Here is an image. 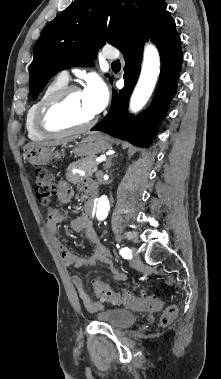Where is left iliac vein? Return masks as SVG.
I'll list each match as a JSON object with an SVG mask.
<instances>
[{
	"mask_svg": "<svg viewBox=\"0 0 221 379\" xmlns=\"http://www.w3.org/2000/svg\"><path fill=\"white\" fill-rule=\"evenodd\" d=\"M131 250L133 253V259L130 260V265L134 268H141L142 261L138 255L137 249L135 247H132Z\"/></svg>",
	"mask_w": 221,
	"mask_h": 379,
	"instance_id": "1",
	"label": "left iliac vein"
}]
</instances>
